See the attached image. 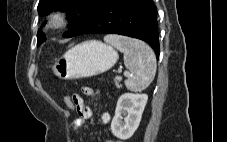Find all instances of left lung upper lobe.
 <instances>
[{"instance_id":"1","label":"left lung upper lobe","mask_w":227,"mask_h":142,"mask_svg":"<svg viewBox=\"0 0 227 142\" xmlns=\"http://www.w3.org/2000/svg\"><path fill=\"white\" fill-rule=\"evenodd\" d=\"M107 0H40L38 4L39 15H47L53 10L67 11V19L72 26L64 37H72L81 27L87 24L97 10ZM46 40L39 30L37 33V46Z\"/></svg>"}]
</instances>
